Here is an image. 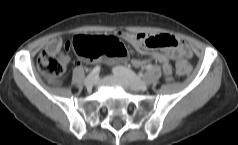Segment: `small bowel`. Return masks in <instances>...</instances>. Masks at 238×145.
<instances>
[{
  "label": "small bowel",
  "mask_w": 238,
  "mask_h": 145,
  "mask_svg": "<svg viewBox=\"0 0 238 145\" xmlns=\"http://www.w3.org/2000/svg\"><path fill=\"white\" fill-rule=\"evenodd\" d=\"M116 35L127 41L139 53L143 55H148L150 59L161 63L163 67V73L167 80H172L171 60L180 57L187 58L191 56V51L187 43L184 40L175 38L174 36H171L169 34L148 36L145 33L132 34L120 30L116 32ZM53 46H56L55 50H52ZM159 48H169L170 50H155ZM46 49L47 51L52 52L59 58L65 60L67 63L69 62V57L62 50V40L60 38L52 39L47 44ZM85 62L89 61L85 60ZM76 64L80 65L81 62L77 61ZM131 64L136 68L142 67L146 64V60L134 58L131 59Z\"/></svg>",
  "instance_id": "obj_1"
}]
</instances>
